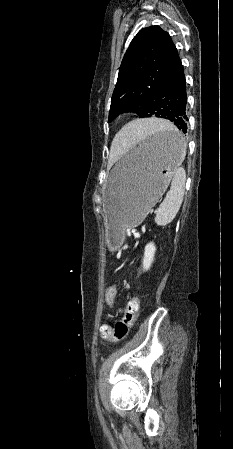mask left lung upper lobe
<instances>
[{
	"label": "left lung upper lobe",
	"mask_w": 233,
	"mask_h": 449,
	"mask_svg": "<svg viewBox=\"0 0 233 449\" xmlns=\"http://www.w3.org/2000/svg\"><path fill=\"white\" fill-rule=\"evenodd\" d=\"M180 61L168 32L159 26L141 29L123 57L108 121L122 112L144 117L154 93Z\"/></svg>",
	"instance_id": "5c2ea615"
}]
</instances>
